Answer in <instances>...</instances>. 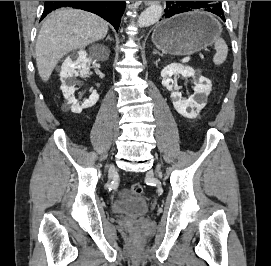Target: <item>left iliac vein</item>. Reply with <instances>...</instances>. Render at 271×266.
I'll return each instance as SVG.
<instances>
[{
  "label": "left iliac vein",
  "instance_id": "obj_1",
  "mask_svg": "<svg viewBox=\"0 0 271 266\" xmlns=\"http://www.w3.org/2000/svg\"><path fill=\"white\" fill-rule=\"evenodd\" d=\"M157 175L161 176V173H160L159 169L157 170Z\"/></svg>",
  "mask_w": 271,
  "mask_h": 266
}]
</instances>
